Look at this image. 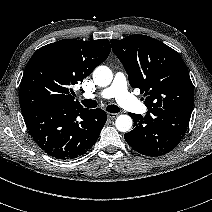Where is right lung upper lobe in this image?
I'll list each match as a JSON object with an SVG mask.
<instances>
[{"label": "right lung upper lobe", "mask_w": 212, "mask_h": 212, "mask_svg": "<svg viewBox=\"0 0 212 212\" xmlns=\"http://www.w3.org/2000/svg\"><path fill=\"white\" fill-rule=\"evenodd\" d=\"M111 51L107 39L60 40L39 48L27 63L20 85L23 116L44 108H83L71 87L82 82Z\"/></svg>", "instance_id": "right-lung-upper-lobe-1"}]
</instances>
